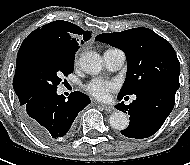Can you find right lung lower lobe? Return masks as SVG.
I'll return each mask as SVG.
<instances>
[{
    "mask_svg": "<svg viewBox=\"0 0 190 165\" xmlns=\"http://www.w3.org/2000/svg\"><path fill=\"white\" fill-rule=\"evenodd\" d=\"M56 90L41 91L20 101V114L28 128L42 141L51 142L68 136L79 111L90 99L81 92H73L68 99Z\"/></svg>",
    "mask_w": 190,
    "mask_h": 165,
    "instance_id": "98d812e1",
    "label": "right lung lower lobe"
}]
</instances>
